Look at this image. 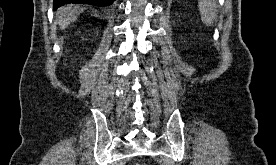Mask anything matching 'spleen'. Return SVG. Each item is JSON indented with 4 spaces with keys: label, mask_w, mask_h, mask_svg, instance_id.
Instances as JSON below:
<instances>
[{
    "label": "spleen",
    "mask_w": 276,
    "mask_h": 165,
    "mask_svg": "<svg viewBox=\"0 0 276 165\" xmlns=\"http://www.w3.org/2000/svg\"><path fill=\"white\" fill-rule=\"evenodd\" d=\"M198 5L202 22L211 25L217 17L215 0H198Z\"/></svg>",
    "instance_id": "3e777b00"
}]
</instances>
